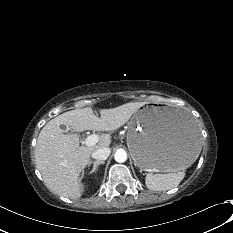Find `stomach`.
Segmentation results:
<instances>
[{
  "label": "stomach",
  "mask_w": 233,
  "mask_h": 233,
  "mask_svg": "<svg viewBox=\"0 0 233 233\" xmlns=\"http://www.w3.org/2000/svg\"><path fill=\"white\" fill-rule=\"evenodd\" d=\"M127 145L146 171L174 172L188 167L201 150L195 121L182 108L147 104L128 124Z\"/></svg>",
  "instance_id": "stomach-1"
}]
</instances>
